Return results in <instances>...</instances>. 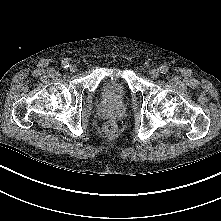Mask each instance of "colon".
Returning <instances> with one entry per match:
<instances>
[{"mask_svg": "<svg viewBox=\"0 0 221 221\" xmlns=\"http://www.w3.org/2000/svg\"><path fill=\"white\" fill-rule=\"evenodd\" d=\"M103 130L106 134H114L117 130V125L114 121H107L103 126Z\"/></svg>", "mask_w": 221, "mask_h": 221, "instance_id": "obj_1", "label": "colon"}]
</instances>
